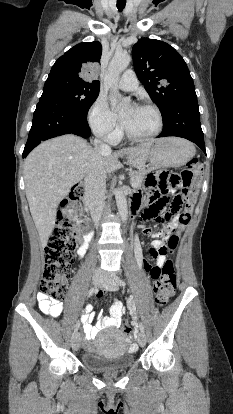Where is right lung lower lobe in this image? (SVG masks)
Wrapping results in <instances>:
<instances>
[{
	"mask_svg": "<svg viewBox=\"0 0 233 414\" xmlns=\"http://www.w3.org/2000/svg\"><path fill=\"white\" fill-rule=\"evenodd\" d=\"M87 114L77 112L50 101H40L33 116L32 127L23 151V158L42 141L63 134H76L87 138L91 130Z\"/></svg>",
	"mask_w": 233,
	"mask_h": 414,
	"instance_id": "98d812e1",
	"label": "right lung lower lobe"
}]
</instances>
